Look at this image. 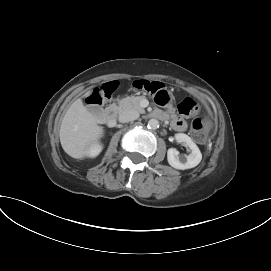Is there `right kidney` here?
<instances>
[{
  "label": "right kidney",
  "mask_w": 271,
  "mask_h": 271,
  "mask_svg": "<svg viewBox=\"0 0 271 271\" xmlns=\"http://www.w3.org/2000/svg\"><path fill=\"white\" fill-rule=\"evenodd\" d=\"M102 150V146L99 144H95L94 146L91 147L89 151V157H96Z\"/></svg>",
  "instance_id": "1"
}]
</instances>
